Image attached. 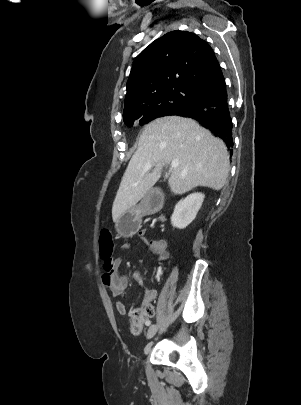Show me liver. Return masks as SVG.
<instances>
[{"label":"liver","mask_w":301,"mask_h":405,"mask_svg":"<svg viewBox=\"0 0 301 405\" xmlns=\"http://www.w3.org/2000/svg\"><path fill=\"white\" fill-rule=\"evenodd\" d=\"M178 160L168 184L180 195L197 186L220 190L229 173V157L224 142L196 121L179 116L158 118L143 129L138 148L122 177L112 206L116 223L159 180L165 164ZM151 163L152 171H145Z\"/></svg>","instance_id":"1"}]
</instances>
